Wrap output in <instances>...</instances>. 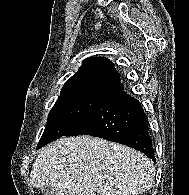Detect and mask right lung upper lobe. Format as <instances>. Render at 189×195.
<instances>
[{"mask_svg": "<svg viewBox=\"0 0 189 195\" xmlns=\"http://www.w3.org/2000/svg\"><path fill=\"white\" fill-rule=\"evenodd\" d=\"M123 88L120 76L109 59L91 57L87 58L78 72L68 79L61 93L85 90L110 95Z\"/></svg>", "mask_w": 189, "mask_h": 195, "instance_id": "obj_1", "label": "right lung upper lobe"}]
</instances>
